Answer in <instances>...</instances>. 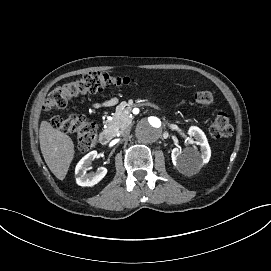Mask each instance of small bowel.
Masks as SVG:
<instances>
[{
  "instance_id": "small-bowel-1",
  "label": "small bowel",
  "mask_w": 271,
  "mask_h": 271,
  "mask_svg": "<svg viewBox=\"0 0 271 271\" xmlns=\"http://www.w3.org/2000/svg\"><path fill=\"white\" fill-rule=\"evenodd\" d=\"M117 103V98L111 97L103 102H96L93 104V107L99 108V107H110L114 106Z\"/></svg>"
}]
</instances>
